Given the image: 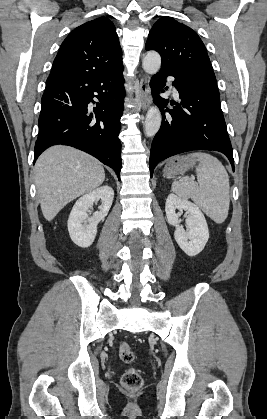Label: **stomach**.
<instances>
[{"instance_id": "0dacf381", "label": "stomach", "mask_w": 267, "mask_h": 419, "mask_svg": "<svg viewBox=\"0 0 267 419\" xmlns=\"http://www.w3.org/2000/svg\"><path fill=\"white\" fill-rule=\"evenodd\" d=\"M196 159L188 156H177L169 160L164 168V176L167 178L174 177L185 173L187 170L195 166Z\"/></svg>"}]
</instances>
